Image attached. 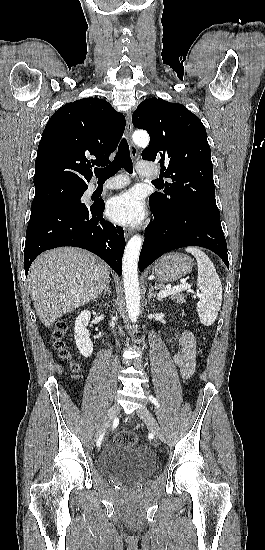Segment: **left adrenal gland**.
<instances>
[{"label":"left adrenal gland","instance_id":"obj_1","mask_svg":"<svg viewBox=\"0 0 265 550\" xmlns=\"http://www.w3.org/2000/svg\"><path fill=\"white\" fill-rule=\"evenodd\" d=\"M152 298H156L157 300L162 301V299L156 297V294L154 293V287L151 284L148 293V301H150Z\"/></svg>","mask_w":265,"mask_h":550}]
</instances>
